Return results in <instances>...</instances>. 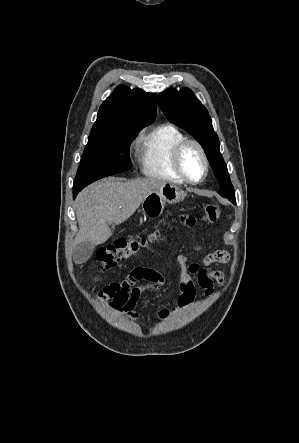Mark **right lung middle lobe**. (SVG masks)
<instances>
[{"label": "right lung middle lobe", "instance_id": "obj_1", "mask_svg": "<svg viewBox=\"0 0 299 443\" xmlns=\"http://www.w3.org/2000/svg\"><path fill=\"white\" fill-rule=\"evenodd\" d=\"M144 126L147 125L89 135L73 191H81L98 179L130 169L129 147Z\"/></svg>", "mask_w": 299, "mask_h": 443}]
</instances>
